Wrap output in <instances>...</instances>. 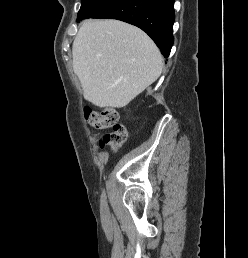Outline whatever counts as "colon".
<instances>
[{"mask_svg":"<svg viewBox=\"0 0 248 258\" xmlns=\"http://www.w3.org/2000/svg\"><path fill=\"white\" fill-rule=\"evenodd\" d=\"M118 119V113L113 108H105L101 112L90 107L84 109V120L89 126L97 129L113 127L100 141L102 147H110L113 151H117L127 137V131L124 126L118 124Z\"/></svg>","mask_w":248,"mask_h":258,"instance_id":"5ec220e1","label":"colon"}]
</instances>
